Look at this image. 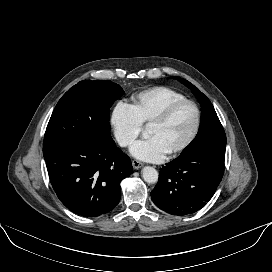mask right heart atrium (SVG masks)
Here are the masks:
<instances>
[{"mask_svg": "<svg viewBox=\"0 0 272 272\" xmlns=\"http://www.w3.org/2000/svg\"><path fill=\"white\" fill-rule=\"evenodd\" d=\"M110 123L121 147H129L142 131V123L131 105L119 102L112 110Z\"/></svg>", "mask_w": 272, "mask_h": 272, "instance_id": "d8ad5b80", "label": "right heart atrium"}]
</instances>
